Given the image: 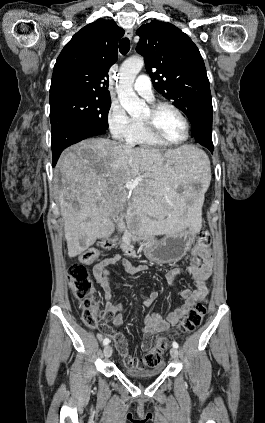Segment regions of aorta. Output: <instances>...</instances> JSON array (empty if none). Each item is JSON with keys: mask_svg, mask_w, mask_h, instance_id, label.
<instances>
[{"mask_svg": "<svg viewBox=\"0 0 265 423\" xmlns=\"http://www.w3.org/2000/svg\"><path fill=\"white\" fill-rule=\"evenodd\" d=\"M143 65V58L132 57L124 61L119 70L118 98L121 106L130 116L140 115L146 108L145 101L140 99L133 90V83Z\"/></svg>", "mask_w": 265, "mask_h": 423, "instance_id": "aorta-1", "label": "aorta"}]
</instances>
